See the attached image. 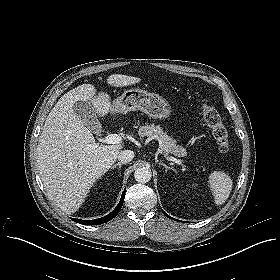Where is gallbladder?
<instances>
[{
  "mask_svg": "<svg viewBox=\"0 0 280 280\" xmlns=\"http://www.w3.org/2000/svg\"><path fill=\"white\" fill-rule=\"evenodd\" d=\"M74 114L80 118L82 123L97 135L101 133L102 127L97 118L92 104L88 101H78L73 105Z\"/></svg>",
  "mask_w": 280,
  "mask_h": 280,
  "instance_id": "bac80fb5",
  "label": "gallbladder"
}]
</instances>
